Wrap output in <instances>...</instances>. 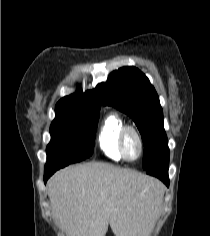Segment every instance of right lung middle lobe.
Listing matches in <instances>:
<instances>
[{
  "label": "right lung middle lobe",
  "mask_w": 210,
  "mask_h": 236,
  "mask_svg": "<svg viewBox=\"0 0 210 236\" xmlns=\"http://www.w3.org/2000/svg\"><path fill=\"white\" fill-rule=\"evenodd\" d=\"M100 110L74 112L55 109L47 146V163L71 164L93 154L95 131Z\"/></svg>",
  "instance_id": "obj_1"
}]
</instances>
